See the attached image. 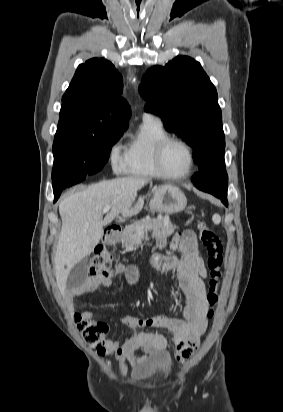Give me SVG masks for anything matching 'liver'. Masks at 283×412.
Segmentation results:
<instances>
[{"label":"liver","mask_w":283,"mask_h":412,"mask_svg":"<svg viewBox=\"0 0 283 412\" xmlns=\"http://www.w3.org/2000/svg\"><path fill=\"white\" fill-rule=\"evenodd\" d=\"M148 179L117 178L102 181L70 194L59 204L62 228L55 255V276L61 293L75 264L91 254L103 235V226L121 214L125 217L140 212L143 201L136 203L137 192ZM111 211L102 218L104 207Z\"/></svg>","instance_id":"1"}]
</instances>
